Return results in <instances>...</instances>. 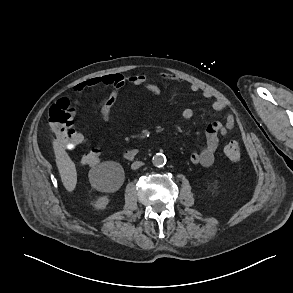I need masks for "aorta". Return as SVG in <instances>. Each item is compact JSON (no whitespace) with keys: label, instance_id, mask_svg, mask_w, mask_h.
I'll return each mask as SVG.
<instances>
[{"label":"aorta","instance_id":"aorta-1","mask_svg":"<svg viewBox=\"0 0 293 293\" xmlns=\"http://www.w3.org/2000/svg\"><path fill=\"white\" fill-rule=\"evenodd\" d=\"M152 163L155 167H163L166 164V157L162 153H157L152 158Z\"/></svg>","mask_w":293,"mask_h":293}]
</instances>
